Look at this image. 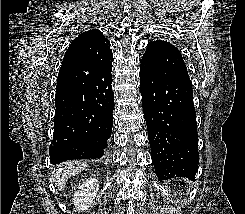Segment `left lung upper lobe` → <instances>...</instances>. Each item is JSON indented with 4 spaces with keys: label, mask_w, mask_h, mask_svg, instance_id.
<instances>
[{
    "label": "left lung upper lobe",
    "mask_w": 245,
    "mask_h": 214,
    "mask_svg": "<svg viewBox=\"0 0 245 214\" xmlns=\"http://www.w3.org/2000/svg\"><path fill=\"white\" fill-rule=\"evenodd\" d=\"M140 62L141 67H146L160 74L190 79L178 48L167 41L156 40L148 43Z\"/></svg>",
    "instance_id": "1"
}]
</instances>
